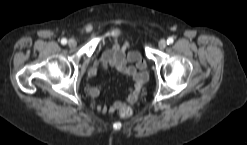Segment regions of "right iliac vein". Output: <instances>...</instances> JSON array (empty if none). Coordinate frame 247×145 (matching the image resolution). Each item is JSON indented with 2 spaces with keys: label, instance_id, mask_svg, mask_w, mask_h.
Returning <instances> with one entry per match:
<instances>
[{
  "label": "right iliac vein",
  "instance_id": "obj_1",
  "mask_svg": "<svg viewBox=\"0 0 247 145\" xmlns=\"http://www.w3.org/2000/svg\"><path fill=\"white\" fill-rule=\"evenodd\" d=\"M68 45H69L70 48H74V47H76L77 42L74 39H70L68 41Z\"/></svg>",
  "mask_w": 247,
  "mask_h": 145
}]
</instances>
